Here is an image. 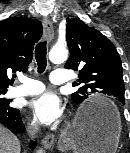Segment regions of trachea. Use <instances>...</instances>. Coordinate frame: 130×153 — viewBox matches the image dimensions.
<instances>
[{"label": "trachea", "mask_w": 130, "mask_h": 153, "mask_svg": "<svg viewBox=\"0 0 130 153\" xmlns=\"http://www.w3.org/2000/svg\"><path fill=\"white\" fill-rule=\"evenodd\" d=\"M47 47L46 41L40 42L35 48V59L38 65V72L42 73L45 71L47 66Z\"/></svg>", "instance_id": "1"}]
</instances>
